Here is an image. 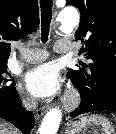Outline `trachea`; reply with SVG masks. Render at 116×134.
I'll return each mask as SVG.
<instances>
[{
  "label": "trachea",
  "mask_w": 116,
  "mask_h": 134,
  "mask_svg": "<svg viewBox=\"0 0 116 134\" xmlns=\"http://www.w3.org/2000/svg\"><path fill=\"white\" fill-rule=\"evenodd\" d=\"M41 7V41H48L50 23L52 20V0H40Z\"/></svg>",
  "instance_id": "trachea-1"
}]
</instances>
